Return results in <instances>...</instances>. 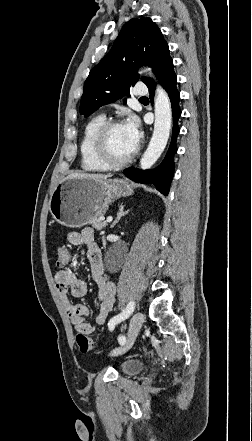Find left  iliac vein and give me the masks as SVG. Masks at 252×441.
I'll use <instances>...</instances> for the list:
<instances>
[{
	"instance_id": "obj_1",
	"label": "left iliac vein",
	"mask_w": 252,
	"mask_h": 441,
	"mask_svg": "<svg viewBox=\"0 0 252 441\" xmlns=\"http://www.w3.org/2000/svg\"><path fill=\"white\" fill-rule=\"evenodd\" d=\"M144 322V315L142 312H137L131 319L129 331H128V340L127 343L118 349L112 351V355H120L128 351L134 343L137 335L139 334L142 324Z\"/></svg>"
}]
</instances>
